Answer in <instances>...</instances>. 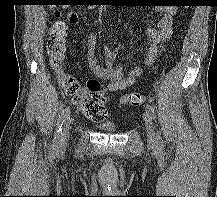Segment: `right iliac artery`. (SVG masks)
<instances>
[{
  "label": "right iliac artery",
  "instance_id": "82829eb1",
  "mask_svg": "<svg viewBox=\"0 0 217 197\" xmlns=\"http://www.w3.org/2000/svg\"><path fill=\"white\" fill-rule=\"evenodd\" d=\"M69 115H70V108L67 107L61 112V114L58 117L57 128H56L55 136H54V139H53V146L54 147H57V145L60 142V138H61V135H62V127H63V124H64V122L66 121V119L68 118Z\"/></svg>",
  "mask_w": 217,
  "mask_h": 197
}]
</instances>
